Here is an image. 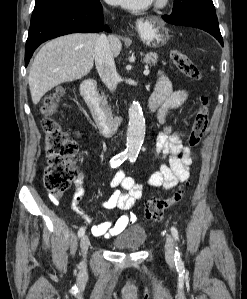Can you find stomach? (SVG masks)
<instances>
[{
    "label": "stomach",
    "mask_w": 247,
    "mask_h": 299,
    "mask_svg": "<svg viewBox=\"0 0 247 299\" xmlns=\"http://www.w3.org/2000/svg\"><path fill=\"white\" fill-rule=\"evenodd\" d=\"M137 29L141 40L149 47L164 46L169 40V30L160 21H140Z\"/></svg>",
    "instance_id": "stomach-1"
}]
</instances>
